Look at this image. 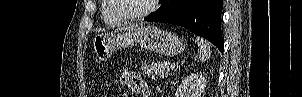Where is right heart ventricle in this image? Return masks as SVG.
Instances as JSON below:
<instances>
[{"label": "right heart ventricle", "instance_id": "obj_1", "mask_svg": "<svg viewBox=\"0 0 302 97\" xmlns=\"http://www.w3.org/2000/svg\"><path fill=\"white\" fill-rule=\"evenodd\" d=\"M101 19L110 27L121 26L124 23V20L113 13L109 0H102Z\"/></svg>", "mask_w": 302, "mask_h": 97}]
</instances>
